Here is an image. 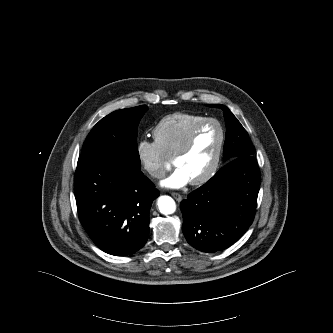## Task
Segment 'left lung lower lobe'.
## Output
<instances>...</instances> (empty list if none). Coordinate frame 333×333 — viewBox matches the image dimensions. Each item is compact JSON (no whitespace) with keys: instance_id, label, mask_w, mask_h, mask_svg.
Returning a JSON list of instances; mask_svg holds the SVG:
<instances>
[{"instance_id":"obj_1","label":"left lung lower lobe","mask_w":333,"mask_h":333,"mask_svg":"<svg viewBox=\"0 0 333 333\" xmlns=\"http://www.w3.org/2000/svg\"><path fill=\"white\" fill-rule=\"evenodd\" d=\"M260 172L253 156L232 159L203 186L181 202L183 233L203 252H216L236 242L252 224Z\"/></svg>"}]
</instances>
